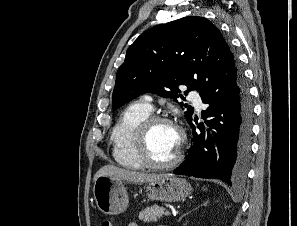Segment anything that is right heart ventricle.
<instances>
[{
    "label": "right heart ventricle",
    "mask_w": 297,
    "mask_h": 226,
    "mask_svg": "<svg viewBox=\"0 0 297 226\" xmlns=\"http://www.w3.org/2000/svg\"><path fill=\"white\" fill-rule=\"evenodd\" d=\"M151 113L152 110L142 101H136L120 114L111 133V143L113 158L122 167L128 169L144 167L134 150V136L138 125Z\"/></svg>",
    "instance_id": "1"
}]
</instances>
